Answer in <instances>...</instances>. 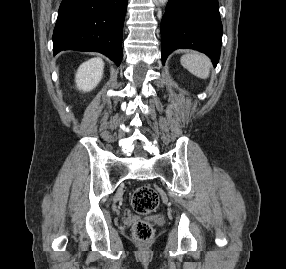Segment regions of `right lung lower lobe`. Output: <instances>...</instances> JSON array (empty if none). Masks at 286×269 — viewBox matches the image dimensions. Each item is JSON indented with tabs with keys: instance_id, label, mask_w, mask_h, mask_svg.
Returning <instances> with one entry per match:
<instances>
[{
	"instance_id": "1",
	"label": "right lung lower lobe",
	"mask_w": 286,
	"mask_h": 269,
	"mask_svg": "<svg viewBox=\"0 0 286 269\" xmlns=\"http://www.w3.org/2000/svg\"><path fill=\"white\" fill-rule=\"evenodd\" d=\"M128 0H62L53 32L54 54L95 51L119 66Z\"/></svg>"
}]
</instances>
